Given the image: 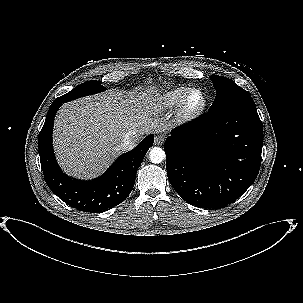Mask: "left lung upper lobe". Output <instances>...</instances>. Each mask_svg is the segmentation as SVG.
Instances as JSON below:
<instances>
[{"mask_svg": "<svg viewBox=\"0 0 303 303\" xmlns=\"http://www.w3.org/2000/svg\"><path fill=\"white\" fill-rule=\"evenodd\" d=\"M216 97L208 112H217L241 107H255L251 95L228 78L211 75Z\"/></svg>", "mask_w": 303, "mask_h": 303, "instance_id": "obj_1", "label": "left lung upper lobe"}]
</instances>
